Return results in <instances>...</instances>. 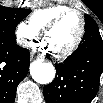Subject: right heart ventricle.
Wrapping results in <instances>:
<instances>
[{
    "label": "right heart ventricle",
    "mask_w": 103,
    "mask_h": 103,
    "mask_svg": "<svg viewBox=\"0 0 103 103\" xmlns=\"http://www.w3.org/2000/svg\"><path fill=\"white\" fill-rule=\"evenodd\" d=\"M69 8L68 5L57 4L38 9L30 15L29 23L40 32L52 19Z\"/></svg>",
    "instance_id": "obj_1"
}]
</instances>
